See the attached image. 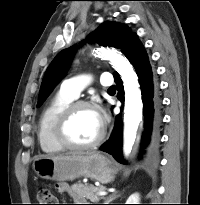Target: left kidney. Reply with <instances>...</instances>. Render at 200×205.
Instances as JSON below:
<instances>
[{"label":"left kidney","instance_id":"1","mask_svg":"<svg viewBox=\"0 0 200 205\" xmlns=\"http://www.w3.org/2000/svg\"><path fill=\"white\" fill-rule=\"evenodd\" d=\"M140 196L138 193L132 194L128 199L126 204H140Z\"/></svg>","mask_w":200,"mask_h":205}]
</instances>
